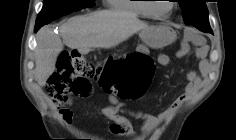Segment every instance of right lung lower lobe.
Returning a JSON list of instances; mask_svg holds the SVG:
<instances>
[{
  "label": "right lung lower lobe",
  "mask_w": 236,
  "mask_h": 140,
  "mask_svg": "<svg viewBox=\"0 0 236 140\" xmlns=\"http://www.w3.org/2000/svg\"><path fill=\"white\" fill-rule=\"evenodd\" d=\"M40 27H35V32L39 29Z\"/></svg>",
  "instance_id": "obj_1"
}]
</instances>
